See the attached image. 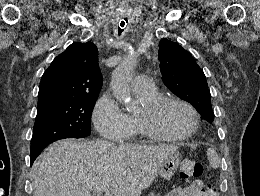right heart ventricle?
Returning <instances> with one entry per match:
<instances>
[{
	"instance_id": "right-heart-ventricle-1",
	"label": "right heart ventricle",
	"mask_w": 260,
	"mask_h": 196,
	"mask_svg": "<svg viewBox=\"0 0 260 196\" xmlns=\"http://www.w3.org/2000/svg\"><path fill=\"white\" fill-rule=\"evenodd\" d=\"M134 91H135L137 97L143 102V106H144V104L149 103L160 97V93L154 87H152L150 90L139 91V90L134 89ZM129 117H130V121H131V128L140 129L139 124H138V119H137V113L130 114ZM130 141H136V139H132Z\"/></svg>"
}]
</instances>
